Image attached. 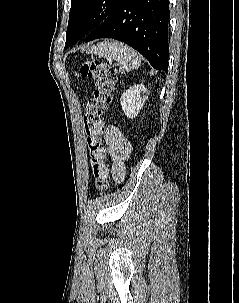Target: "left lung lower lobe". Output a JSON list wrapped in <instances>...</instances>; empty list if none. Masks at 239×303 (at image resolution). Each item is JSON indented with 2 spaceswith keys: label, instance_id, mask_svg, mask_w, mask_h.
<instances>
[{
  "label": "left lung lower lobe",
  "instance_id": "0a47b994",
  "mask_svg": "<svg viewBox=\"0 0 239 303\" xmlns=\"http://www.w3.org/2000/svg\"><path fill=\"white\" fill-rule=\"evenodd\" d=\"M168 0H119L84 39L114 38L139 51L158 70H168Z\"/></svg>",
  "mask_w": 239,
  "mask_h": 303
}]
</instances>
